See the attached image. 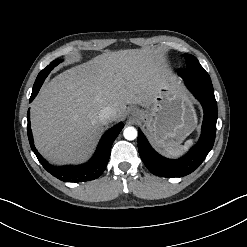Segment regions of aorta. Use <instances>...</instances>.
Segmentation results:
<instances>
[{"label": "aorta", "instance_id": "aorta-1", "mask_svg": "<svg viewBox=\"0 0 247 247\" xmlns=\"http://www.w3.org/2000/svg\"><path fill=\"white\" fill-rule=\"evenodd\" d=\"M124 138L134 140L137 137V130L134 127H126L123 131Z\"/></svg>", "mask_w": 247, "mask_h": 247}]
</instances>
